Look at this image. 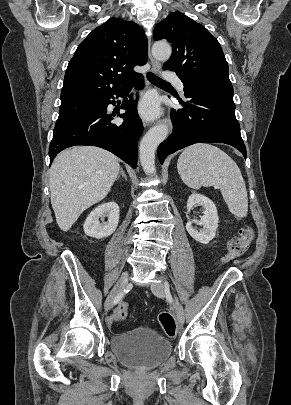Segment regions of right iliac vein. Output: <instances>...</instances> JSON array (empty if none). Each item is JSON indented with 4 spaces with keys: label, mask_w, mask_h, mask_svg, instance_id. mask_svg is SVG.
I'll use <instances>...</instances> for the list:
<instances>
[{
    "label": "right iliac vein",
    "mask_w": 291,
    "mask_h": 405,
    "mask_svg": "<svg viewBox=\"0 0 291 405\" xmlns=\"http://www.w3.org/2000/svg\"><path fill=\"white\" fill-rule=\"evenodd\" d=\"M128 280H129L128 273H125L120 277V279L118 280V282L116 283V285L114 286V288L112 289V291L110 292L105 301L106 311H109L112 308V306L114 305L115 298L125 289Z\"/></svg>",
    "instance_id": "right-iliac-vein-1"
}]
</instances>
